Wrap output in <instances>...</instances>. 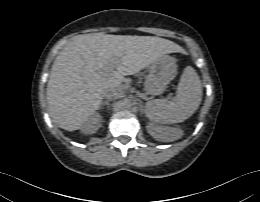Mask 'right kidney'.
<instances>
[{
    "mask_svg": "<svg viewBox=\"0 0 260 202\" xmlns=\"http://www.w3.org/2000/svg\"><path fill=\"white\" fill-rule=\"evenodd\" d=\"M102 117L99 113L92 114L85 125L82 128V132L85 134H91L98 130L101 126Z\"/></svg>",
    "mask_w": 260,
    "mask_h": 202,
    "instance_id": "1",
    "label": "right kidney"
}]
</instances>
